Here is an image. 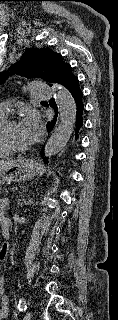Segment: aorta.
Returning a JSON list of instances; mask_svg holds the SVG:
<instances>
[{
	"mask_svg": "<svg viewBox=\"0 0 118 320\" xmlns=\"http://www.w3.org/2000/svg\"><path fill=\"white\" fill-rule=\"evenodd\" d=\"M52 91L60 113V123L48 139L44 153L52 156L68 143L76 121V104L71 93L58 83L52 84Z\"/></svg>",
	"mask_w": 118,
	"mask_h": 320,
	"instance_id": "762f6f07",
	"label": "aorta"
}]
</instances>
